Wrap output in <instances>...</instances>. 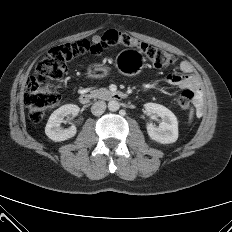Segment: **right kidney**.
I'll use <instances>...</instances> for the list:
<instances>
[{
  "label": "right kidney",
  "mask_w": 232,
  "mask_h": 232,
  "mask_svg": "<svg viewBox=\"0 0 232 232\" xmlns=\"http://www.w3.org/2000/svg\"><path fill=\"white\" fill-rule=\"evenodd\" d=\"M80 108L74 104H66L55 110L45 127L46 135L55 142L65 141L75 136L77 130L74 125L64 129L61 127V123L64 121V117L68 115L77 116Z\"/></svg>",
  "instance_id": "obj_1"
}]
</instances>
